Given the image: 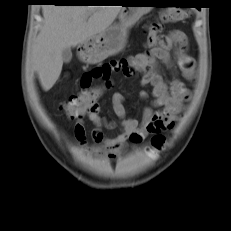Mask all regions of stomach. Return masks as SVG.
<instances>
[{"mask_svg":"<svg viewBox=\"0 0 231 231\" xmlns=\"http://www.w3.org/2000/svg\"><path fill=\"white\" fill-rule=\"evenodd\" d=\"M127 3L147 4L149 2L129 0ZM151 9L152 7H135V5L123 7L118 23L82 43V49L78 52L80 59L86 63L95 64L121 52L127 43L129 29Z\"/></svg>","mask_w":231,"mask_h":231,"instance_id":"1","label":"stomach"}]
</instances>
